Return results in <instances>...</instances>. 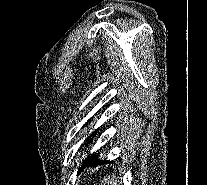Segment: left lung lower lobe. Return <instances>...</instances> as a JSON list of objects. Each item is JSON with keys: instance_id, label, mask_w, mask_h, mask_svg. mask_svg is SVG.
I'll return each mask as SVG.
<instances>
[{"instance_id": "obj_1", "label": "left lung lower lobe", "mask_w": 207, "mask_h": 185, "mask_svg": "<svg viewBox=\"0 0 207 185\" xmlns=\"http://www.w3.org/2000/svg\"><path fill=\"white\" fill-rule=\"evenodd\" d=\"M106 162V160L101 161L98 158V155L96 153L89 155L86 160L83 162L82 167L88 166V165H96Z\"/></svg>"}]
</instances>
